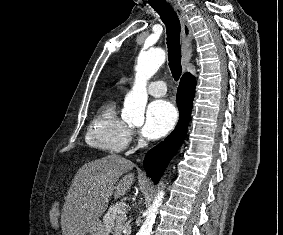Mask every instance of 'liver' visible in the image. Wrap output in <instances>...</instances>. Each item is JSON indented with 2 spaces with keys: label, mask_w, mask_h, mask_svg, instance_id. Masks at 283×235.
Here are the masks:
<instances>
[{
  "label": "liver",
  "mask_w": 283,
  "mask_h": 235,
  "mask_svg": "<svg viewBox=\"0 0 283 235\" xmlns=\"http://www.w3.org/2000/svg\"><path fill=\"white\" fill-rule=\"evenodd\" d=\"M133 167V162L116 154L84 164L76 173L65 199L61 214L62 234L87 235L106 211L113 193L119 198L130 189L134 174L119 178Z\"/></svg>",
  "instance_id": "6515ba94"
}]
</instances>
